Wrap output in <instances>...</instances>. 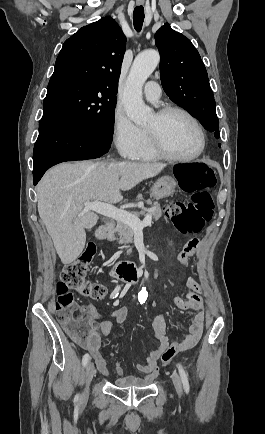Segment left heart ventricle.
<instances>
[{"instance_id": "obj_1", "label": "left heart ventricle", "mask_w": 265, "mask_h": 434, "mask_svg": "<svg viewBox=\"0 0 265 434\" xmlns=\"http://www.w3.org/2000/svg\"><path fill=\"white\" fill-rule=\"evenodd\" d=\"M157 124L156 115L147 125ZM163 142L165 146L178 156H190L199 148V135L194 124L181 113L170 114L163 123Z\"/></svg>"}]
</instances>
